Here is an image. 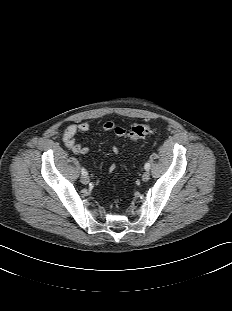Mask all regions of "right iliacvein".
Here are the masks:
<instances>
[{
	"label": "right iliac vein",
	"mask_w": 232,
	"mask_h": 311,
	"mask_svg": "<svg viewBox=\"0 0 232 311\" xmlns=\"http://www.w3.org/2000/svg\"><path fill=\"white\" fill-rule=\"evenodd\" d=\"M81 182L83 183V184H88L89 183V177L88 176H85V175H83L82 177H81Z\"/></svg>",
	"instance_id": "63e3f726"
}]
</instances>
